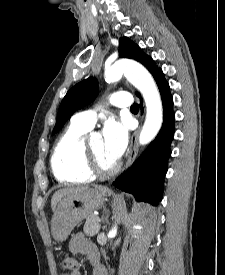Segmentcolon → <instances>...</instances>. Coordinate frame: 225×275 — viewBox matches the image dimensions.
<instances>
[{"instance_id": "obj_1", "label": "colon", "mask_w": 225, "mask_h": 275, "mask_svg": "<svg viewBox=\"0 0 225 275\" xmlns=\"http://www.w3.org/2000/svg\"><path fill=\"white\" fill-rule=\"evenodd\" d=\"M62 266L67 271H77L78 270V262L73 256H66L62 261Z\"/></svg>"}]
</instances>
